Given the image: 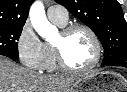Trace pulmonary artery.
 Instances as JSON below:
<instances>
[{
    "label": "pulmonary artery",
    "instance_id": "obj_1",
    "mask_svg": "<svg viewBox=\"0 0 127 92\" xmlns=\"http://www.w3.org/2000/svg\"><path fill=\"white\" fill-rule=\"evenodd\" d=\"M47 14L50 19L57 20L60 22H67L68 12L65 7L61 5H52L48 8Z\"/></svg>",
    "mask_w": 127,
    "mask_h": 92
}]
</instances>
